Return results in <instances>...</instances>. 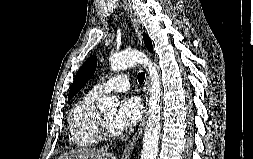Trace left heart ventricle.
<instances>
[{
	"instance_id": "left-heart-ventricle-1",
	"label": "left heart ventricle",
	"mask_w": 253,
	"mask_h": 159,
	"mask_svg": "<svg viewBox=\"0 0 253 159\" xmlns=\"http://www.w3.org/2000/svg\"><path fill=\"white\" fill-rule=\"evenodd\" d=\"M102 116L107 121L109 126L114 130V128L112 126V122H113V119L115 117V112L114 111L104 112V113H102Z\"/></svg>"
}]
</instances>
